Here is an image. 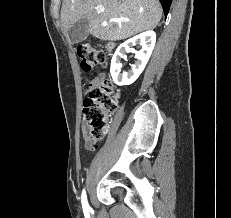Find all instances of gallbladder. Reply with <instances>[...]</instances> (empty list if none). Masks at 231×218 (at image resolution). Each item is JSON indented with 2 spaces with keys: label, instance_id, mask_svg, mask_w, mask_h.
I'll use <instances>...</instances> for the list:
<instances>
[{
  "label": "gallbladder",
  "instance_id": "1",
  "mask_svg": "<svg viewBox=\"0 0 231 218\" xmlns=\"http://www.w3.org/2000/svg\"><path fill=\"white\" fill-rule=\"evenodd\" d=\"M89 20L81 19L74 23L68 30V37L72 44L83 41L88 34Z\"/></svg>",
  "mask_w": 231,
  "mask_h": 218
}]
</instances>
